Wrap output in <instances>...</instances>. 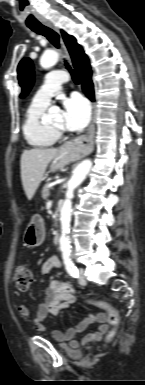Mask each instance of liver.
Wrapping results in <instances>:
<instances>
[{
  "label": "liver",
  "mask_w": 145,
  "mask_h": 385,
  "mask_svg": "<svg viewBox=\"0 0 145 385\" xmlns=\"http://www.w3.org/2000/svg\"><path fill=\"white\" fill-rule=\"evenodd\" d=\"M56 148H33L21 155V180L25 194L31 200L38 189L48 164L58 153Z\"/></svg>",
  "instance_id": "6515ba94"
}]
</instances>
